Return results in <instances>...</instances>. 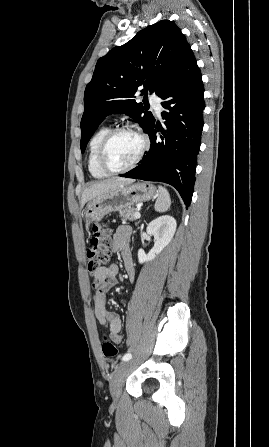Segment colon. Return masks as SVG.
I'll list each match as a JSON object with an SVG mask.
<instances>
[{"mask_svg": "<svg viewBox=\"0 0 269 447\" xmlns=\"http://www.w3.org/2000/svg\"><path fill=\"white\" fill-rule=\"evenodd\" d=\"M91 232L92 248L87 251L85 257L87 271L90 275H94L109 262L111 231L107 224L93 223ZM101 349L106 358H116L119 355V350L114 343L109 341L107 334L103 335Z\"/></svg>", "mask_w": 269, "mask_h": 447, "instance_id": "5ec220e1", "label": "colon"}]
</instances>
